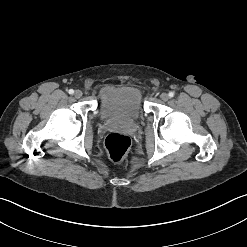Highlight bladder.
<instances>
[{
	"mask_svg": "<svg viewBox=\"0 0 247 247\" xmlns=\"http://www.w3.org/2000/svg\"><path fill=\"white\" fill-rule=\"evenodd\" d=\"M102 118L109 120H135L143 111L141 91L133 86L107 85L99 94Z\"/></svg>",
	"mask_w": 247,
	"mask_h": 247,
	"instance_id": "bladder-1",
	"label": "bladder"
}]
</instances>
